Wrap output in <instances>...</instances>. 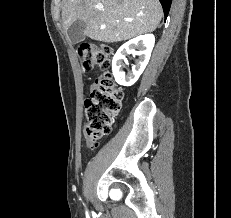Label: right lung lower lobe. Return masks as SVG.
I'll list each match as a JSON object with an SVG mask.
<instances>
[{
    "instance_id": "right-lung-lower-lobe-1",
    "label": "right lung lower lobe",
    "mask_w": 231,
    "mask_h": 218,
    "mask_svg": "<svg viewBox=\"0 0 231 218\" xmlns=\"http://www.w3.org/2000/svg\"><path fill=\"white\" fill-rule=\"evenodd\" d=\"M159 1L163 7L164 15H165V17H167L169 10H170L172 0H159Z\"/></svg>"
}]
</instances>
